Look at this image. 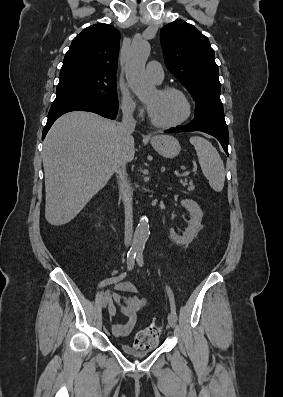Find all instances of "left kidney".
<instances>
[{"instance_id":"5707ae66","label":"left kidney","mask_w":283,"mask_h":397,"mask_svg":"<svg viewBox=\"0 0 283 397\" xmlns=\"http://www.w3.org/2000/svg\"><path fill=\"white\" fill-rule=\"evenodd\" d=\"M181 205L189 212L191 219L182 236L178 235L174 229H170V236L176 244L189 245L201 229L203 212L199 205L190 199L182 200Z\"/></svg>"}]
</instances>
